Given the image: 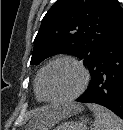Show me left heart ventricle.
<instances>
[{"label":"left heart ventricle","instance_id":"1","mask_svg":"<svg viewBox=\"0 0 123 130\" xmlns=\"http://www.w3.org/2000/svg\"><path fill=\"white\" fill-rule=\"evenodd\" d=\"M82 82V73L70 62H58L52 65L44 78V89L48 97L62 99L74 94Z\"/></svg>","mask_w":123,"mask_h":130}]
</instances>
